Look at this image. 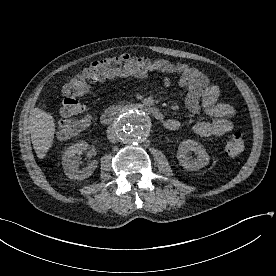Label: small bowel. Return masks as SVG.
I'll list each match as a JSON object with an SVG mask.
<instances>
[{"label": "small bowel", "instance_id": "1", "mask_svg": "<svg viewBox=\"0 0 276 276\" xmlns=\"http://www.w3.org/2000/svg\"><path fill=\"white\" fill-rule=\"evenodd\" d=\"M153 71L166 74L163 85L169 87L172 76L177 75V83L182 89L180 97L186 107L193 113L204 112L212 118L211 121L197 122L193 131L200 137H221L228 134L233 124L231 118L236 109L227 103L218 102L220 90L210 83L209 79L197 68L183 63H173L165 59L152 61ZM168 130H177L180 122L177 119H167L164 122Z\"/></svg>", "mask_w": 276, "mask_h": 276}]
</instances>
